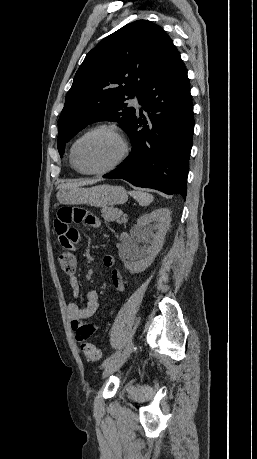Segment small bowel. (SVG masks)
Listing matches in <instances>:
<instances>
[{
	"mask_svg": "<svg viewBox=\"0 0 257 459\" xmlns=\"http://www.w3.org/2000/svg\"><path fill=\"white\" fill-rule=\"evenodd\" d=\"M96 210L91 205H59L56 217L53 219L55 231L60 236V245L63 251H79L80 236L77 226H85L86 229H101L102 221L95 217ZM76 231V232H75ZM104 266L112 268L115 265V258L106 255L103 258ZM113 287L119 293L125 292V283L122 274L118 270H113L111 275ZM72 296L78 297L80 285L76 275L68 278ZM99 307V295L95 290H89L86 294L85 306L81 307L77 303H69L67 314L70 319L71 328L75 333V338L79 342L87 340L100 326L99 323L86 322L92 317Z\"/></svg>",
	"mask_w": 257,
	"mask_h": 459,
	"instance_id": "1",
	"label": "small bowel"
}]
</instances>
